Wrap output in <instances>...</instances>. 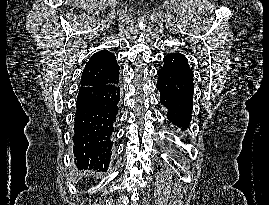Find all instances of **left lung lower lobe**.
Listing matches in <instances>:
<instances>
[{"label":"left lung lower lobe","instance_id":"1","mask_svg":"<svg viewBox=\"0 0 269 205\" xmlns=\"http://www.w3.org/2000/svg\"><path fill=\"white\" fill-rule=\"evenodd\" d=\"M160 102L167 108L170 122L186 129L191 122L193 106V72L185 56L171 53L164 57V65L157 72Z\"/></svg>","mask_w":269,"mask_h":205}]
</instances>
